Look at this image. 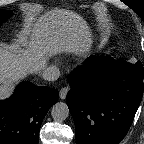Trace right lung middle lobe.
Segmentation results:
<instances>
[{"instance_id":"obj_1","label":"right lung middle lobe","mask_w":144,"mask_h":144,"mask_svg":"<svg viewBox=\"0 0 144 144\" xmlns=\"http://www.w3.org/2000/svg\"><path fill=\"white\" fill-rule=\"evenodd\" d=\"M12 15L11 11H7V10H0V26L1 23L4 22L6 19H8L10 16Z\"/></svg>"}]
</instances>
